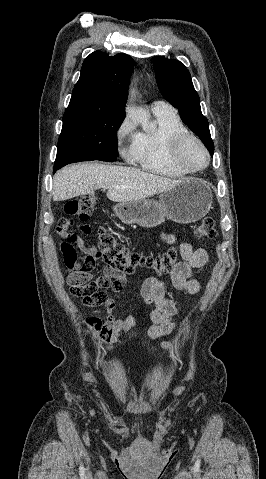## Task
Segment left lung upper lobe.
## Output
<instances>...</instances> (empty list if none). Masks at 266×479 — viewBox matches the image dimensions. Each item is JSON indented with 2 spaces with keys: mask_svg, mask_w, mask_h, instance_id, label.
<instances>
[{
  "mask_svg": "<svg viewBox=\"0 0 266 479\" xmlns=\"http://www.w3.org/2000/svg\"><path fill=\"white\" fill-rule=\"evenodd\" d=\"M156 81L162 96L178 108L183 122L201 139L211 155L214 143L211 139L209 124L202 115L200 99L195 91L187 68L180 61L154 58Z\"/></svg>",
  "mask_w": 266,
  "mask_h": 479,
  "instance_id": "left-lung-upper-lobe-1",
  "label": "left lung upper lobe"
}]
</instances>
